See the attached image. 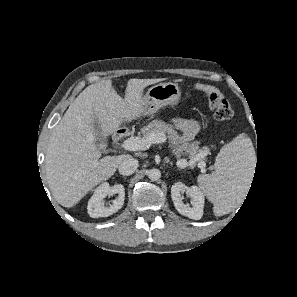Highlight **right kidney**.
Returning <instances> with one entry per match:
<instances>
[{"label":"right kidney","instance_id":"obj_1","mask_svg":"<svg viewBox=\"0 0 297 297\" xmlns=\"http://www.w3.org/2000/svg\"><path fill=\"white\" fill-rule=\"evenodd\" d=\"M117 194V198L113 200V203L106 207L103 206L102 201L106 196ZM125 189L123 185L117 184L110 186L108 182L102 183L98 186L91 199L88 201V214L92 218L108 217L118 210H120L124 204Z\"/></svg>","mask_w":297,"mask_h":297}]
</instances>
